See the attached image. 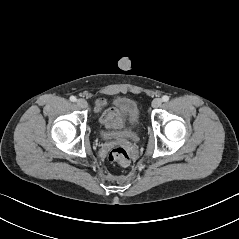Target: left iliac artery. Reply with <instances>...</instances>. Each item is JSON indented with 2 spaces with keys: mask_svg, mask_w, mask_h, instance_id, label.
I'll list each match as a JSON object with an SVG mask.
<instances>
[{
  "mask_svg": "<svg viewBox=\"0 0 239 239\" xmlns=\"http://www.w3.org/2000/svg\"><path fill=\"white\" fill-rule=\"evenodd\" d=\"M168 100H169V96L164 95V96L162 97V101H163V102H167Z\"/></svg>",
  "mask_w": 239,
  "mask_h": 239,
  "instance_id": "obj_1",
  "label": "left iliac artery"
}]
</instances>
